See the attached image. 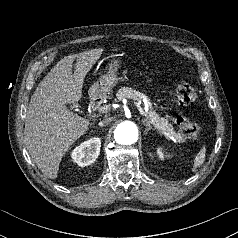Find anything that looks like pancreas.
<instances>
[{"mask_svg":"<svg viewBox=\"0 0 238 238\" xmlns=\"http://www.w3.org/2000/svg\"><path fill=\"white\" fill-rule=\"evenodd\" d=\"M116 99L114 101H120L122 99H132L137 102H141L143 99H148L147 96L139 91H136L129 87H122L118 90L116 94ZM149 100V99H148ZM150 109L151 108V103ZM147 118L154 125V127L165 137L172 139L176 142H184L183 137L180 133H176L173 126L168 123V120L160 117L155 111H148Z\"/></svg>","mask_w":238,"mask_h":238,"instance_id":"1","label":"pancreas"}]
</instances>
